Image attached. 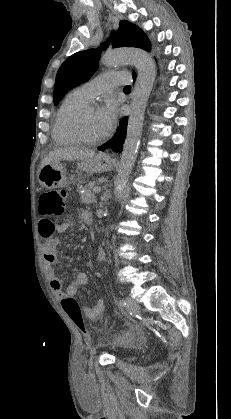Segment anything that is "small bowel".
<instances>
[{
  "mask_svg": "<svg viewBox=\"0 0 231 419\" xmlns=\"http://www.w3.org/2000/svg\"><path fill=\"white\" fill-rule=\"evenodd\" d=\"M80 218L82 222L90 224L92 222V216L87 211H80ZM71 226L70 221H65L60 224H55L50 219H43L39 222L38 231L39 234L45 239L44 243V260L47 265V272L50 278V286L54 291L55 295L63 300L65 297H74L78 290L87 285L88 275L85 272H78L71 283L63 289L62 280L56 274L53 265L57 262V249L59 246V239L55 236V233H64ZM105 309L103 300H98L92 307H83V314L92 321H98L101 319ZM136 342L137 339L132 340Z\"/></svg>",
  "mask_w": 231,
  "mask_h": 419,
  "instance_id": "small-bowel-1",
  "label": "small bowel"
}]
</instances>
